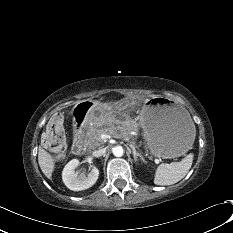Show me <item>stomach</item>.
Segmentation results:
<instances>
[{"instance_id": "obj_1", "label": "stomach", "mask_w": 233, "mask_h": 233, "mask_svg": "<svg viewBox=\"0 0 233 233\" xmlns=\"http://www.w3.org/2000/svg\"><path fill=\"white\" fill-rule=\"evenodd\" d=\"M133 109L127 98L109 100L105 107L94 105L87 118L94 123L104 119L120 120ZM143 136L150 153L159 158H175L185 154L195 139V125L187 111L166 98L147 102L140 118Z\"/></svg>"}]
</instances>
